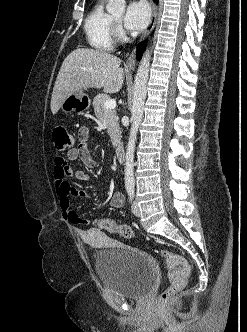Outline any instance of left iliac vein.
<instances>
[{
	"label": "left iliac vein",
	"instance_id": "left-iliac-vein-1",
	"mask_svg": "<svg viewBox=\"0 0 247 332\" xmlns=\"http://www.w3.org/2000/svg\"><path fill=\"white\" fill-rule=\"evenodd\" d=\"M132 212L137 217H139L141 215V211H140L137 201H134L132 204Z\"/></svg>",
	"mask_w": 247,
	"mask_h": 332
}]
</instances>
